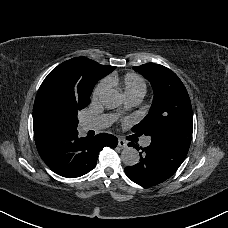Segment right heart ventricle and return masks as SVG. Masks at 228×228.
<instances>
[{
  "label": "right heart ventricle",
  "instance_id": "1",
  "mask_svg": "<svg viewBox=\"0 0 228 228\" xmlns=\"http://www.w3.org/2000/svg\"><path fill=\"white\" fill-rule=\"evenodd\" d=\"M105 82L110 88L108 91H114L119 96L121 93L127 99L131 96H138L141 100L147 88L145 80L135 73H126L122 76L112 73L105 77Z\"/></svg>",
  "mask_w": 228,
  "mask_h": 228
}]
</instances>
